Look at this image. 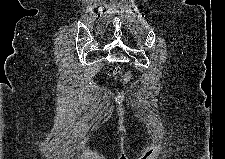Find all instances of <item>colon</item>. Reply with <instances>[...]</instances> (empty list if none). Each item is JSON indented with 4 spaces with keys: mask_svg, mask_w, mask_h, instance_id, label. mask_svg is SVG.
<instances>
[{
    "mask_svg": "<svg viewBox=\"0 0 225 159\" xmlns=\"http://www.w3.org/2000/svg\"><path fill=\"white\" fill-rule=\"evenodd\" d=\"M122 72H121V70L119 69V68H114V69H112L111 70V72H110V74L112 75V76H118V75H120Z\"/></svg>",
    "mask_w": 225,
    "mask_h": 159,
    "instance_id": "obj_1",
    "label": "colon"
}]
</instances>
